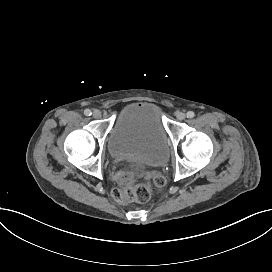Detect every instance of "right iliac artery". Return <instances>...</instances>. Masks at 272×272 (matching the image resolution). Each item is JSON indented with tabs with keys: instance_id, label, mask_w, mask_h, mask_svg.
I'll use <instances>...</instances> for the list:
<instances>
[{
	"instance_id": "1",
	"label": "right iliac artery",
	"mask_w": 272,
	"mask_h": 272,
	"mask_svg": "<svg viewBox=\"0 0 272 272\" xmlns=\"http://www.w3.org/2000/svg\"><path fill=\"white\" fill-rule=\"evenodd\" d=\"M84 114H85L86 116H90V115L92 114V112H91V110H89V109H85V110H84Z\"/></svg>"
}]
</instances>
